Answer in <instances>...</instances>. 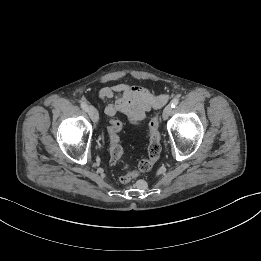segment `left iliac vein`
<instances>
[{"label":"left iliac vein","mask_w":261,"mask_h":261,"mask_svg":"<svg viewBox=\"0 0 261 261\" xmlns=\"http://www.w3.org/2000/svg\"><path fill=\"white\" fill-rule=\"evenodd\" d=\"M171 113H172V107H171L170 104H168V105L164 108V110H163V114H162L163 119H164V120H167V119L169 118V116L171 115Z\"/></svg>","instance_id":"1"}]
</instances>
